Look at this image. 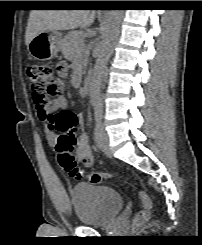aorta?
<instances>
[{
	"label": "aorta",
	"mask_w": 202,
	"mask_h": 245,
	"mask_svg": "<svg viewBox=\"0 0 202 245\" xmlns=\"http://www.w3.org/2000/svg\"><path fill=\"white\" fill-rule=\"evenodd\" d=\"M123 10H110L104 26L99 53L94 65L91 84V99L97 101L100 97L102 78L111 56L115 39L123 19Z\"/></svg>",
	"instance_id": "1"
}]
</instances>
